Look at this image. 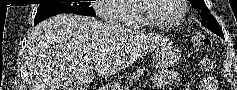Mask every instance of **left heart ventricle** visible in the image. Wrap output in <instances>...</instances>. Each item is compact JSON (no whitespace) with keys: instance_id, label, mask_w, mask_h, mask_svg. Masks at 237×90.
Wrapping results in <instances>:
<instances>
[{"instance_id":"obj_1","label":"left heart ventricle","mask_w":237,"mask_h":90,"mask_svg":"<svg viewBox=\"0 0 237 90\" xmlns=\"http://www.w3.org/2000/svg\"><path fill=\"white\" fill-rule=\"evenodd\" d=\"M176 3L177 0H149L144 6H152L148 14L154 21L164 20L169 25L175 23L179 17L180 8Z\"/></svg>"}]
</instances>
